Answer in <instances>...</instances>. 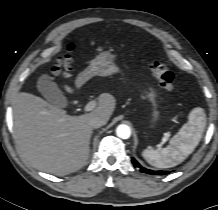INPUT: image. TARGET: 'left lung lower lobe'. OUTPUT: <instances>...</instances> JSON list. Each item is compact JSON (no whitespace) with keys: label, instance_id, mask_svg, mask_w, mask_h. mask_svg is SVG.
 <instances>
[{"label":"left lung lower lobe","instance_id":"1","mask_svg":"<svg viewBox=\"0 0 218 210\" xmlns=\"http://www.w3.org/2000/svg\"><path fill=\"white\" fill-rule=\"evenodd\" d=\"M132 163L135 167H138L140 171L143 173L152 174V175H164L169 173V171H153L150 169H146L142 167L134 158H132Z\"/></svg>","mask_w":218,"mask_h":210}]
</instances>
